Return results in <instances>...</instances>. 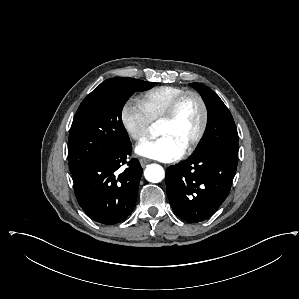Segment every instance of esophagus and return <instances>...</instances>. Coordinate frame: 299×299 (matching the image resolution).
<instances>
[{
	"label": "esophagus",
	"instance_id": "obj_1",
	"mask_svg": "<svg viewBox=\"0 0 299 299\" xmlns=\"http://www.w3.org/2000/svg\"><path fill=\"white\" fill-rule=\"evenodd\" d=\"M139 161L142 167H145L148 163H150V160L146 158H141Z\"/></svg>",
	"mask_w": 299,
	"mask_h": 299
}]
</instances>
